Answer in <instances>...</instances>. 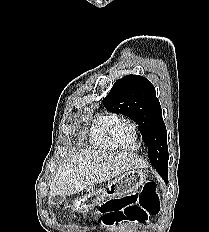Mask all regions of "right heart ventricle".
<instances>
[{"instance_id": "obj_1", "label": "right heart ventricle", "mask_w": 209, "mask_h": 232, "mask_svg": "<svg viewBox=\"0 0 209 232\" xmlns=\"http://www.w3.org/2000/svg\"><path fill=\"white\" fill-rule=\"evenodd\" d=\"M119 117L120 116L115 113L107 112L97 116L91 129V141L96 147L109 151L119 149L110 136V128ZM137 148L138 143L137 140L134 139V147L131 148V151H134Z\"/></svg>"}]
</instances>
